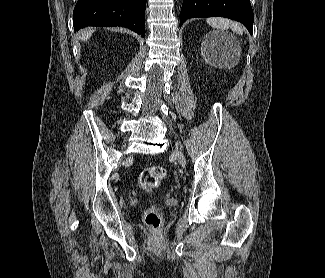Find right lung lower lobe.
Instances as JSON below:
<instances>
[{"instance_id":"1","label":"right lung lower lobe","mask_w":325,"mask_h":278,"mask_svg":"<svg viewBox=\"0 0 325 278\" xmlns=\"http://www.w3.org/2000/svg\"><path fill=\"white\" fill-rule=\"evenodd\" d=\"M146 0H78L73 11L75 31L86 26H122L145 34Z\"/></svg>"}]
</instances>
